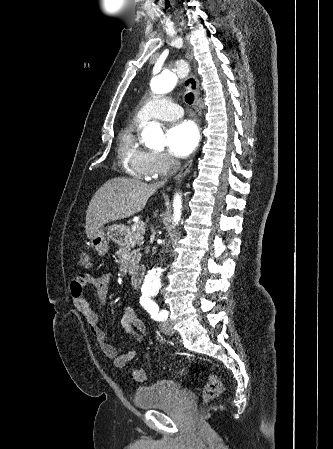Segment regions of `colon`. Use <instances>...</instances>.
Returning <instances> with one entry per match:
<instances>
[{"label":"colon","instance_id":"5ec220e1","mask_svg":"<svg viewBox=\"0 0 333 449\" xmlns=\"http://www.w3.org/2000/svg\"><path fill=\"white\" fill-rule=\"evenodd\" d=\"M91 254L89 249L84 248L79 255V262L82 266L87 267L90 264ZM181 375H187L188 370L180 369L178 371ZM133 377L137 381H144L146 376L142 369H137L133 373ZM222 384L219 378L213 374H210L207 378V382L203 389V399L205 402H211L215 400L221 393Z\"/></svg>","mask_w":333,"mask_h":449}]
</instances>
